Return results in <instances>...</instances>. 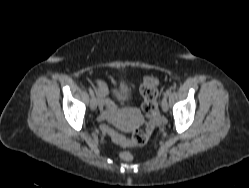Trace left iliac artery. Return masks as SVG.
<instances>
[{"label":"left iliac artery","instance_id":"44dca946","mask_svg":"<svg viewBox=\"0 0 249 188\" xmlns=\"http://www.w3.org/2000/svg\"><path fill=\"white\" fill-rule=\"evenodd\" d=\"M171 93H172V88L166 90V92L164 93V97H169Z\"/></svg>","mask_w":249,"mask_h":188}]
</instances>
